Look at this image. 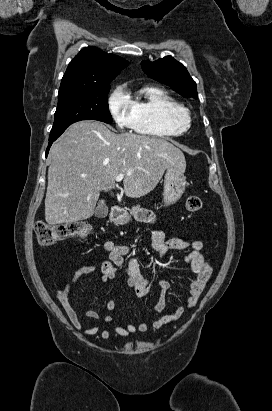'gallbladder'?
<instances>
[{
  "label": "gallbladder",
  "mask_w": 272,
  "mask_h": 411,
  "mask_svg": "<svg viewBox=\"0 0 272 411\" xmlns=\"http://www.w3.org/2000/svg\"><path fill=\"white\" fill-rule=\"evenodd\" d=\"M108 215V207L106 206L104 200H101L98 203V206L95 210V216L98 218H105Z\"/></svg>",
  "instance_id": "obj_1"
}]
</instances>
